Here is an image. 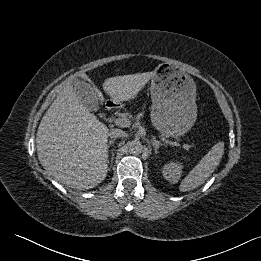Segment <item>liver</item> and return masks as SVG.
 <instances>
[{
	"instance_id": "1",
	"label": "liver",
	"mask_w": 261,
	"mask_h": 261,
	"mask_svg": "<svg viewBox=\"0 0 261 261\" xmlns=\"http://www.w3.org/2000/svg\"><path fill=\"white\" fill-rule=\"evenodd\" d=\"M153 72L111 77L103 83L110 100L117 104L134 99ZM83 78L89 79L86 74ZM72 76L42 117L36 135L37 156L48 177L76 190L100 184L108 172L109 129L83 105L72 86ZM94 90L101 102L104 97Z\"/></svg>"
}]
</instances>
